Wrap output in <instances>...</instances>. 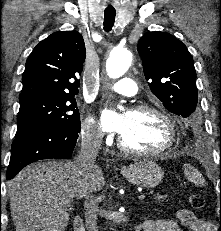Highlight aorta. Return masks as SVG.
Here are the masks:
<instances>
[{
  "label": "aorta",
  "mask_w": 221,
  "mask_h": 231,
  "mask_svg": "<svg viewBox=\"0 0 221 231\" xmlns=\"http://www.w3.org/2000/svg\"><path fill=\"white\" fill-rule=\"evenodd\" d=\"M132 61V53L125 48L113 49L106 61V71L109 77L119 78L126 73Z\"/></svg>",
  "instance_id": "762f6f07"
}]
</instances>
